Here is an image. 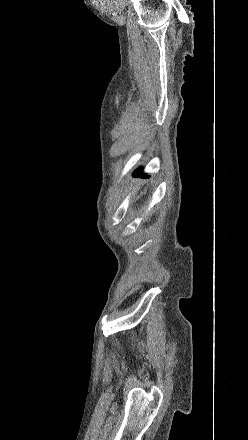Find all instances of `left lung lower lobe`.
Segmentation results:
<instances>
[{
  "instance_id": "left-lung-lower-lobe-1",
  "label": "left lung lower lobe",
  "mask_w": 248,
  "mask_h": 440,
  "mask_svg": "<svg viewBox=\"0 0 248 440\" xmlns=\"http://www.w3.org/2000/svg\"><path fill=\"white\" fill-rule=\"evenodd\" d=\"M133 176H134V177H140V178H149V176H148L147 174H143V173H142V170H141V169L137 170V171L134 173Z\"/></svg>"
}]
</instances>
